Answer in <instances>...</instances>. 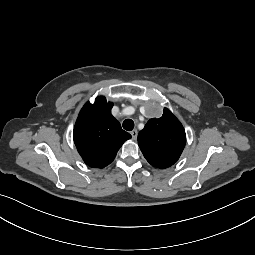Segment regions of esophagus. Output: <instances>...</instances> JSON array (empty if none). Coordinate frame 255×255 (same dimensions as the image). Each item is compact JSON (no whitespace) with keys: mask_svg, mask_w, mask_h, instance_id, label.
Masks as SVG:
<instances>
[{"mask_svg":"<svg viewBox=\"0 0 255 255\" xmlns=\"http://www.w3.org/2000/svg\"><path fill=\"white\" fill-rule=\"evenodd\" d=\"M130 134H131V136H132V138H133L134 140L137 139V135H138L137 130H132V131L130 132Z\"/></svg>","mask_w":255,"mask_h":255,"instance_id":"obj_1","label":"esophagus"}]
</instances>
